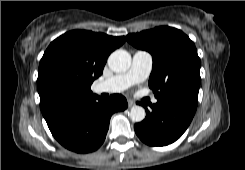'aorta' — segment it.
<instances>
[{
    "label": "aorta",
    "instance_id": "obj_1",
    "mask_svg": "<svg viewBox=\"0 0 245 170\" xmlns=\"http://www.w3.org/2000/svg\"><path fill=\"white\" fill-rule=\"evenodd\" d=\"M108 66L114 72H125L131 66V56L125 50H115L108 58ZM145 116V109L141 106H133L130 110V118L134 122L143 121Z\"/></svg>",
    "mask_w": 245,
    "mask_h": 170
}]
</instances>
